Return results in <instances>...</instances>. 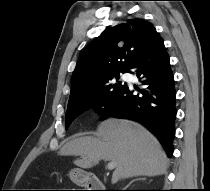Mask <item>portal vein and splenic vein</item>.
Masks as SVG:
<instances>
[{
  "instance_id": "portal-vein-and-splenic-vein-1",
  "label": "portal vein and splenic vein",
  "mask_w": 210,
  "mask_h": 191,
  "mask_svg": "<svg viewBox=\"0 0 210 191\" xmlns=\"http://www.w3.org/2000/svg\"><path fill=\"white\" fill-rule=\"evenodd\" d=\"M115 167H116V162H114V161L108 162V164H107V166H106V168H107L108 170H113Z\"/></svg>"
}]
</instances>
